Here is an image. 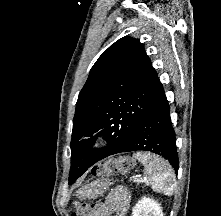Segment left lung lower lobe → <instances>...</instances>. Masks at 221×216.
Segmentation results:
<instances>
[{"label": "left lung lower lobe", "mask_w": 221, "mask_h": 216, "mask_svg": "<svg viewBox=\"0 0 221 216\" xmlns=\"http://www.w3.org/2000/svg\"><path fill=\"white\" fill-rule=\"evenodd\" d=\"M142 150L161 155L178 171L175 132L170 119L169 105L158 78L153 103L134 130L129 142L116 150L109 145L103 149H92L91 147L86 149L81 155L82 169L69 184H72L88 168L103 158L116 153Z\"/></svg>", "instance_id": "1"}]
</instances>
